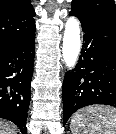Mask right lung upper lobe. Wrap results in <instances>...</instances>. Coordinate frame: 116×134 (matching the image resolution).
I'll return each instance as SVG.
<instances>
[{
    "label": "right lung upper lobe",
    "instance_id": "right-lung-upper-lobe-1",
    "mask_svg": "<svg viewBox=\"0 0 116 134\" xmlns=\"http://www.w3.org/2000/svg\"><path fill=\"white\" fill-rule=\"evenodd\" d=\"M30 0H0V54L35 32Z\"/></svg>",
    "mask_w": 116,
    "mask_h": 134
}]
</instances>
